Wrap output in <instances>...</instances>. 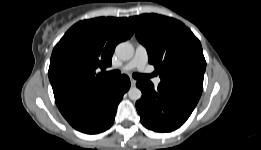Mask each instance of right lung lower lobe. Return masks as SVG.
<instances>
[{"instance_id": "obj_1", "label": "right lung lower lobe", "mask_w": 261, "mask_h": 150, "mask_svg": "<svg viewBox=\"0 0 261 150\" xmlns=\"http://www.w3.org/2000/svg\"><path fill=\"white\" fill-rule=\"evenodd\" d=\"M129 88L128 76L122 75L106 88L78 100L61 113L80 132H103L113 124L117 106Z\"/></svg>"}]
</instances>
